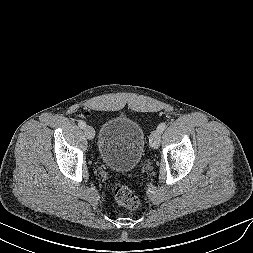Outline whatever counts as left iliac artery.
Returning a JSON list of instances; mask_svg holds the SVG:
<instances>
[{
  "label": "left iliac artery",
  "instance_id": "obj_1",
  "mask_svg": "<svg viewBox=\"0 0 253 253\" xmlns=\"http://www.w3.org/2000/svg\"><path fill=\"white\" fill-rule=\"evenodd\" d=\"M166 129V124L165 123H160L157 127V130L160 132H163Z\"/></svg>",
  "mask_w": 253,
  "mask_h": 253
}]
</instances>
